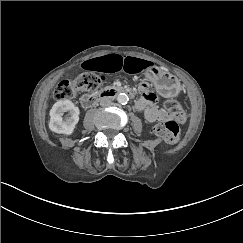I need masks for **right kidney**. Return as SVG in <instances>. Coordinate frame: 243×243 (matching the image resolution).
I'll use <instances>...</instances> for the list:
<instances>
[{
	"instance_id": "right-kidney-1",
	"label": "right kidney",
	"mask_w": 243,
	"mask_h": 243,
	"mask_svg": "<svg viewBox=\"0 0 243 243\" xmlns=\"http://www.w3.org/2000/svg\"><path fill=\"white\" fill-rule=\"evenodd\" d=\"M66 112H70L71 116L66 121L62 115ZM80 109L71 100L64 99L57 101L50 110V120L48 127L51 131L70 136L74 133L76 124L79 121Z\"/></svg>"
}]
</instances>
